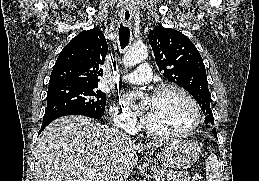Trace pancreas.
Segmentation results:
<instances>
[{"label": "pancreas", "mask_w": 259, "mask_h": 181, "mask_svg": "<svg viewBox=\"0 0 259 181\" xmlns=\"http://www.w3.org/2000/svg\"><path fill=\"white\" fill-rule=\"evenodd\" d=\"M153 173L157 177H164L167 181H190L188 173L174 172L165 169H152Z\"/></svg>", "instance_id": "pancreas-1"}]
</instances>
